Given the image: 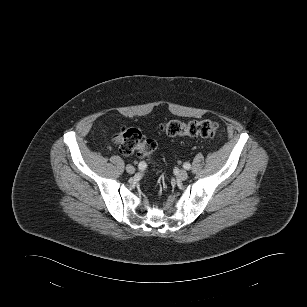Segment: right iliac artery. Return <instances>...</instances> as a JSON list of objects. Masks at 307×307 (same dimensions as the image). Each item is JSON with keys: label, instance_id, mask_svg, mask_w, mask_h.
I'll list each match as a JSON object with an SVG mask.
<instances>
[{"label": "right iliac artery", "instance_id": "82829eb1", "mask_svg": "<svg viewBox=\"0 0 307 307\" xmlns=\"http://www.w3.org/2000/svg\"><path fill=\"white\" fill-rule=\"evenodd\" d=\"M146 166H147V165H146L145 162H140L139 165H138V168H139V170H142V171H143V170H145Z\"/></svg>", "mask_w": 307, "mask_h": 307}]
</instances>
